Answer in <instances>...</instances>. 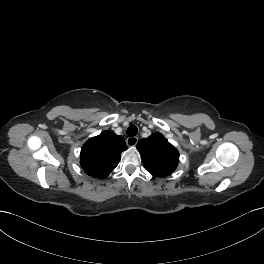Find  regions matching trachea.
<instances>
[{
    "label": "trachea",
    "instance_id": "obj_1",
    "mask_svg": "<svg viewBox=\"0 0 264 264\" xmlns=\"http://www.w3.org/2000/svg\"><path fill=\"white\" fill-rule=\"evenodd\" d=\"M137 132H138V129L135 125H131L127 129V135L130 137L135 136L137 134Z\"/></svg>",
    "mask_w": 264,
    "mask_h": 264
}]
</instances>
